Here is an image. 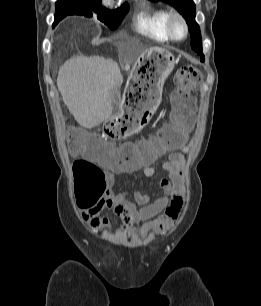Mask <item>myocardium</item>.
Segmentation results:
<instances>
[{
    "mask_svg": "<svg viewBox=\"0 0 261 306\" xmlns=\"http://www.w3.org/2000/svg\"><path fill=\"white\" fill-rule=\"evenodd\" d=\"M180 27L182 29V35H176V27ZM167 30L171 37V39L176 41L184 40L188 35V25L183 18V16L178 12L170 13L167 20Z\"/></svg>",
    "mask_w": 261,
    "mask_h": 306,
    "instance_id": "obj_1",
    "label": "myocardium"
}]
</instances>
